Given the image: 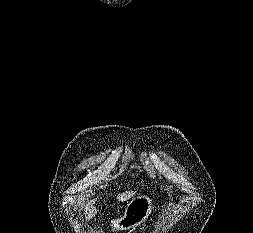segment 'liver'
I'll use <instances>...</instances> for the list:
<instances>
[{
  "instance_id": "liver-1",
  "label": "liver",
  "mask_w": 253,
  "mask_h": 233,
  "mask_svg": "<svg viewBox=\"0 0 253 233\" xmlns=\"http://www.w3.org/2000/svg\"><path fill=\"white\" fill-rule=\"evenodd\" d=\"M136 192L134 191H127L123 194H119L117 199L119 201H126L128 199H130L131 197H133L135 195ZM95 202V199L91 200L90 202H88L85 206V218L86 220H89L90 218H92L96 213H97V209L93 207V203Z\"/></svg>"
}]
</instances>
